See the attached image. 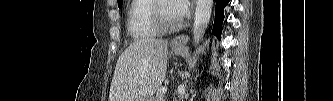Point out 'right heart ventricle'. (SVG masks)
<instances>
[{"label":"right heart ventricle","instance_id":"e07e8e85","mask_svg":"<svg viewBox=\"0 0 333 101\" xmlns=\"http://www.w3.org/2000/svg\"><path fill=\"white\" fill-rule=\"evenodd\" d=\"M155 0H134L128 14V32L134 40H150L159 35L152 20Z\"/></svg>","mask_w":333,"mask_h":101}]
</instances>
